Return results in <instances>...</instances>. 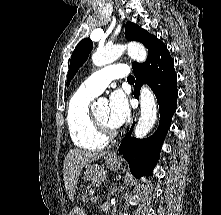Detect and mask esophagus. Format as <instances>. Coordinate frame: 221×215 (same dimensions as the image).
Listing matches in <instances>:
<instances>
[{
  "label": "esophagus",
  "mask_w": 221,
  "mask_h": 215,
  "mask_svg": "<svg viewBox=\"0 0 221 215\" xmlns=\"http://www.w3.org/2000/svg\"><path fill=\"white\" fill-rule=\"evenodd\" d=\"M109 156L115 157V153H110Z\"/></svg>",
  "instance_id": "34e87169"
}]
</instances>
